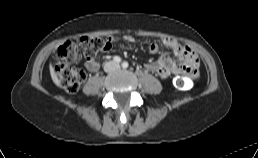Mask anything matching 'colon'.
<instances>
[{
    "label": "colon",
    "instance_id": "colon-1",
    "mask_svg": "<svg viewBox=\"0 0 258 158\" xmlns=\"http://www.w3.org/2000/svg\"><path fill=\"white\" fill-rule=\"evenodd\" d=\"M112 37L84 36L65 40L55 51L53 70L67 92L74 93L82 85L85 74L73 67L80 60L82 50L87 58H94L100 51L112 47ZM180 90L189 89V80L185 77L175 82Z\"/></svg>",
    "mask_w": 258,
    "mask_h": 158
}]
</instances>
